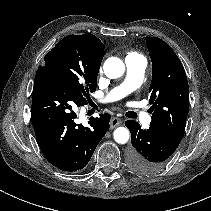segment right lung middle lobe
<instances>
[{
	"label": "right lung middle lobe",
	"instance_id": "right-lung-middle-lobe-1",
	"mask_svg": "<svg viewBox=\"0 0 211 211\" xmlns=\"http://www.w3.org/2000/svg\"><path fill=\"white\" fill-rule=\"evenodd\" d=\"M36 76L42 75L70 86L87 101L95 92L100 60L96 52L75 35L60 40L45 56Z\"/></svg>",
	"mask_w": 211,
	"mask_h": 211
}]
</instances>
